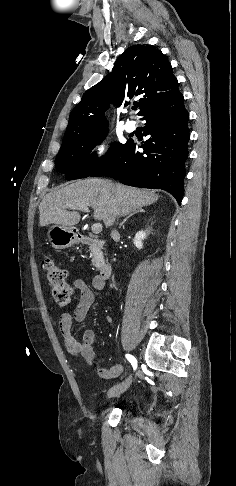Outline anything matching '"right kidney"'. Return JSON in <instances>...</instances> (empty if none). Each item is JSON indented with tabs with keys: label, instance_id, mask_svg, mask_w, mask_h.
Returning <instances> with one entry per match:
<instances>
[{
	"label": "right kidney",
	"instance_id": "1",
	"mask_svg": "<svg viewBox=\"0 0 236 486\" xmlns=\"http://www.w3.org/2000/svg\"><path fill=\"white\" fill-rule=\"evenodd\" d=\"M146 232L144 231H139L136 233L135 238H134V245L136 246L137 249H142L143 248V243L142 241L146 238Z\"/></svg>",
	"mask_w": 236,
	"mask_h": 486
}]
</instances>
